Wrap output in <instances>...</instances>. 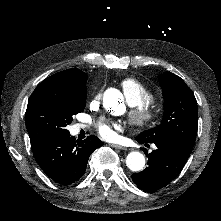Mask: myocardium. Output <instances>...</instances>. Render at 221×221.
<instances>
[{
  "label": "myocardium",
  "instance_id": "obj_1",
  "mask_svg": "<svg viewBox=\"0 0 221 221\" xmlns=\"http://www.w3.org/2000/svg\"><path fill=\"white\" fill-rule=\"evenodd\" d=\"M163 117L162 106L148 107L141 110L136 108L129 114L128 125L132 131L138 132L142 129H151L160 123Z\"/></svg>",
  "mask_w": 221,
  "mask_h": 221
}]
</instances>
